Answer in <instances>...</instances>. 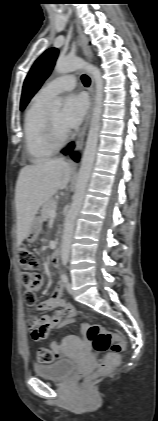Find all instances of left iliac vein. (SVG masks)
<instances>
[{
  "mask_svg": "<svg viewBox=\"0 0 158 421\" xmlns=\"http://www.w3.org/2000/svg\"><path fill=\"white\" fill-rule=\"evenodd\" d=\"M66 289L70 294L72 293V284L70 282L66 283Z\"/></svg>",
  "mask_w": 158,
  "mask_h": 421,
  "instance_id": "obj_1",
  "label": "left iliac vein"
}]
</instances>
